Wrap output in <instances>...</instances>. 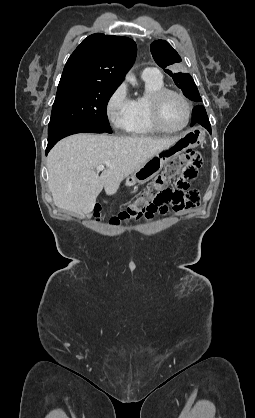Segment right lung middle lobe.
I'll list each match as a JSON object with an SVG mask.
<instances>
[{"label":"right lung middle lobe","mask_w":255,"mask_h":418,"mask_svg":"<svg viewBox=\"0 0 255 418\" xmlns=\"http://www.w3.org/2000/svg\"><path fill=\"white\" fill-rule=\"evenodd\" d=\"M117 87L70 83L58 85L48 128L82 124L112 133L107 103Z\"/></svg>","instance_id":"1"}]
</instances>
